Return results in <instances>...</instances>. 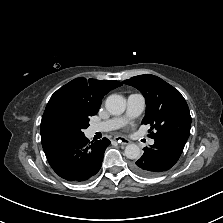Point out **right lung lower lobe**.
I'll return each instance as SVG.
<instances>
[{
	"label": "right lung lower lobe",
	"instance_id": "1",
	"mask_svg": "<svg viewBox=\"0 0 223 223\" xmlns=\"http://www.w3.org/2000/svg\"><path fill=\"white\" fill-rule=\"evenodd\" d=\"M109 144L107 138L88 143L82 136L59 140L43 149L50 166L61 178L83 182L99 171Z\"/></svg>",
	"mask_w": 223,
	"mask_h": 223
}]
</instances>
